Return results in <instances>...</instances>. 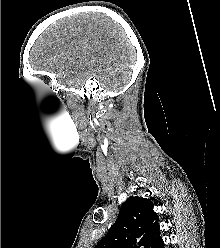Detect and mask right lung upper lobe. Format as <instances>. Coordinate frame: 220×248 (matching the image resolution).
<instances>
[{"label":"right lung upper lobe","instance_id":"1","mask_svg":"<svg viewBox=\"0 0 220 248\" xmlns=\"http://www.w3.org/2000/svg\"><path fill=\"white\" fill-rule=\"evenodd\" d=\"M153 202L130 197L107 235L95 248H154L162 239Z\"/></svg>","mask_w":220,"mask_h":248}]
</instances>
